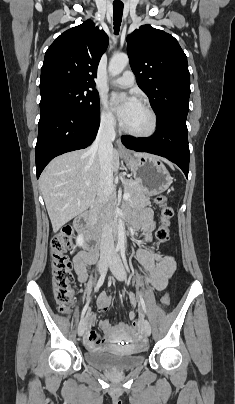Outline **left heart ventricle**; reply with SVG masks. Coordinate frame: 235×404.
Masks as SVG:
<instances>
[{
  "mask_svg": "<svg viewBox=\"0 0 235 404\" xmlns=\"http://www.w3.org/2000/svg\"><path fill=\"white\" fill-rule=\"evenodd\" d=\"M150 124V118L147 111L141 106L137 105L128 120L124 125L133 131H146Z\"/></svg>",
  "mask_w": 235,
  "mask_h": 404,
  "instance_id": "left-heart-ventricle-1",
  "label": "left heart ventricle"
}]
</instances>
